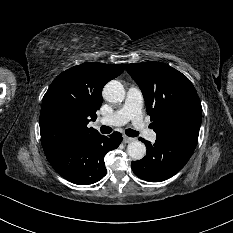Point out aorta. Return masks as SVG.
Returning <instances> with one entry per match:
<instances>
[{"label":"aorta","instance_id":"1","mask_svg":"<svg viewBox=\"0 0 233 233\" xmlns=\"http://www.w3.org/2000/svg\"><path fill=\"white\" fill-rule=\"evenodd\" d=\"M103 97L111 103L122 102L125 98L123 85L116 80L108 82L103 89ZM127 153L133 160H141L146 154V146L140 141H133L128 144Z\"/></svg>","mask_w":233,"mask_h":233}]
</instances>
